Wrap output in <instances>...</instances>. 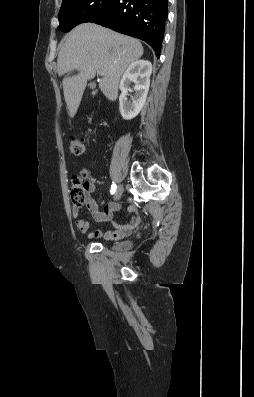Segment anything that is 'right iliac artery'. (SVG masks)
Masks as SVG:
<instances>
[{
  "mask_svg": "<svg viewBox=\"0 0 254 397\" xmlns=\"http://www.w3.org/2000/svg\"><path fill=\"white\" fill-rule=\"evenodd\" d=\"M116 188H117V186H116V184L115 183H113L112 184V186H111V194H114L115 193V191H116Z\"/></svg>",
  "mask_w": 254,
  "mask_h": 397,
  "instance_id": "82829eb1",
  "label": "right iliac artery"
}]
</instances>
